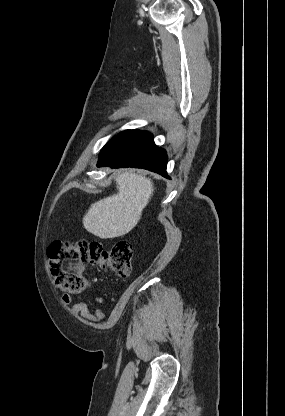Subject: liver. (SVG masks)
<instances>
[{
    "label": "liver",
    "instance_id": "liver-1",
    "mask_svg": "<svg viewBox=\"0 0 285 416\" xmlns=\"http://www.w3.org/2000/svg\"><path fill=\"white\" fill-rule=\"evenodd\" d=\"M113 180L118 194L91 204L83 218L85 230L102 240L131 232L154 192L150 178L132 172L114 174Z\"/></svg>",
    "mask_w": 285,
    "mask_h": 416
}]
</instances>
